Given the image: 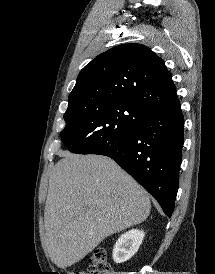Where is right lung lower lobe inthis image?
<instances>
[{"label":"right lung lower lobe","instance_id":"98d812e1","mask_svg":"<svg viewBox=\"0 0 215 274\" xmlns=\"http://www.w3.org/2000/svg\"><path fill=\"white\" fill-rule=\"evenodd\" d=\"M183 142L184 118L179 103L150 112L130 134L90 154L115 160L170 217L178 190Z\"/></svg>","mask_w":215,"mask_h":274}]
</instances>
